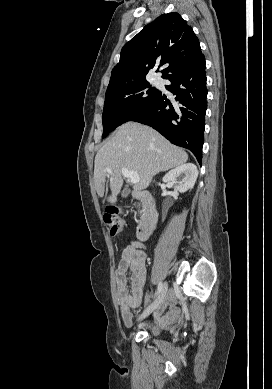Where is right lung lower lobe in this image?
<instances>
[{
  "instance_id": "1",
  "label": "right lung lower lobe",
  "mask_w": 272,
  "mask_h": 389,
  "mask_svg": "<svg viewBox=\"0 0 272 389\" xmlns=\"http://www.w3.org/2000/svg\"><path fill=\"white\" fill-rule=\"evenodd\" d=\"M176 95L170 103L161 92L155 101L131 121L149 125L175 145L192 151L201 163L207 89L204 55L166 78Z\"/></svg>"
}]
</instances>
